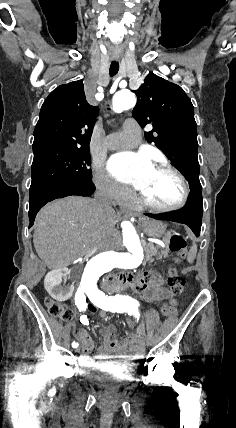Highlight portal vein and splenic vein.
Listing matches in <instances>:
<instances>
[{
  "label": "portal vein and splenic vein",
  "instance_id": "1",
  "mask_svg": "<svg viewBox=\"0 0 236 428\" xmlns=\"http://www.w3.org/2000/svg\"><path fill=\"white\" fill-rule=\"evenodd\" d=\"M151 242H156V240H151Z\"/></svg>",
  "mask_w": 236,
  "mask_h": 428
}]
</instances>
